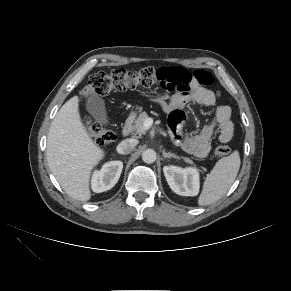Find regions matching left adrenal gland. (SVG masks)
I'll list each match as a JSON object with an SVG mask.
<instances>
[{
	"mask_svg": "<svg viewBox=\"0 0 291 291\" xmlns=\"http://www.w3.org/2000/svg\"><path fill=\"white\" fill-rule=\"evenodd\" d=\"M162 153H163L164 158H171V157H173V158L179 159V157L176 154H174V153L166 152L165 150H163Z\"/></svg>",
	"mask_w": 291,
	"mask_h": 291,
	"instance_id": "obj_1",
	"label": "left adrenal gland"
}]
</instances>
